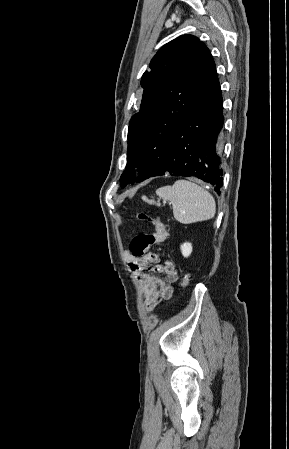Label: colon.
<instances>
[{"instance_id": "obj_1", "label": "colon", "mask_w": 289, "mask_h": 449, "mask_svg": "<svg viewBox=\"0 0 289 449\" xmlns=\"http://www.w3.org/2000/svg\"><path fill=\"white\" fill-rule=\"evenodd\" d=\"M139 218L149 221L155 231L153 233H140L133 237L130 242L129 250L136 257H145L148 255L150 247L164 243L168 238V232L157 216H148L145 213H140ZM181 283L183 288H187L190 284V276L187 273H183L181 277Z\"/></svg>"}]
</instances>
